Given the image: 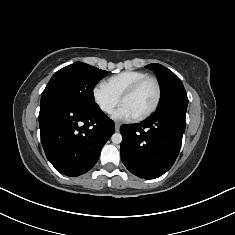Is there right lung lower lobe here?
<instances>
[{
  "label": "right lung lower lobe",
  "mask_w": 235,
  "mask_h": 235,
  "mask_svg": "<svg viewBox=\"0 0 235 235\" xmlns=\"http://www.w3.org/2000/svg\"><path fill=\"white\" fill-rule=\"evenodd\" d=\"M39 126L48 160L67 176L89 171L115 131L114 122L98 105L76 107L64 102L40 105Z\"/></svg>",
  "instance_id": "1"
}]
</instances>
